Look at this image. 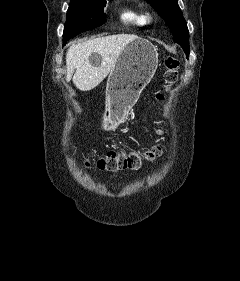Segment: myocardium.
<instances>
[{
	"instance_id": "1",
	"label": "myocardium",
	"mask_w": 240,
	"mask_h": 281,
	"mask_svg": "<svg viewBox=\"0 0 240 281\" xmlns=\"http://www.w3.org/2000/svg\"><path fill=\"white\" fill-rule=\"evenodd\" d=\"M144 18H145L146 22H152L154 19V14L151 11H147L144 14Z\"/></svg>"
}]
</instances>
